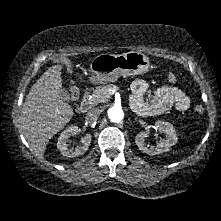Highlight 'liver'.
<instances>
[{
	"mask_svg": "<svg viewBox=\"0 0 221 221\" xmlns=\"http://www.w3.org/2000/svg\"><path fill=\"white\" fill-rule=\"evenodd\" d=\"M61 70V65L50 67L31 87L21 110L23 135L38 157H43L49 140L74 114L61 97Z\"/></svg>",
	"mask_w": 221,
	"mask_h": 221,
	"instance_id": "liver-1",
	"label": "liver"
}]
</instances>
